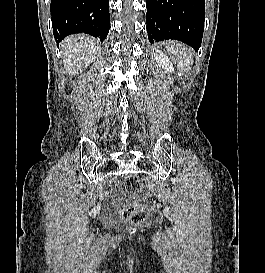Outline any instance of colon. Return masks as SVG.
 <instances>
[{"label": "colon", "instance_id": "colon-1", "mask_svg": "<svg viewBox=\"0 0 265 273\" xmlns=\"http://www.w3.org/2000/svg\"><path fill=\"white\" fill-rule=\"evenodd\" d=\"M128 198L119 207L122 220L142 224L146 222L149 208L142 190V184L135 175H129L124 182Z\"/></svg>", "mask_w": 265, "mask_h": 273}]
</instances>
